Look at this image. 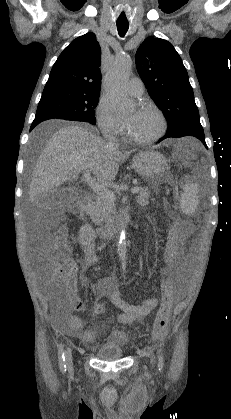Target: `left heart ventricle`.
<instances>
[{"instance_id": "1", "label": "left heart ventricle", "mask_w": 231, "mask_h": 419, "mask_svg": "<svg viewBox=\"0 0 231 419\" xmlns=\"http://www.w3.org/2000/svg\"><path fill=\"white\" fill-rule=\"evenodd\" d=\"M130 132L139 138H149L160 129V120L156 113L150 110L135 108L125 117Z\"/></svg>"}]
</instances>
